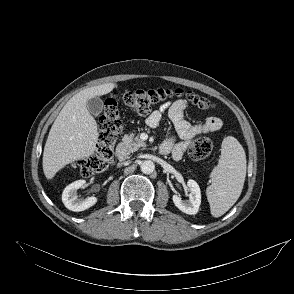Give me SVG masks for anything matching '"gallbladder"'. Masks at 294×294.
<instances>
[{
    "instance_id": "1",
    "label": "gallbladder",
    "mask_w": 294,
    "mask_h": 294,
    "mask_svg": "<svg viewBox=\"0 0 294 294\" xmlns=\"http://www.w3.org/2000/svg\"><path fill=\"white\" fill-rule=\"evenodd\" d=\"M86 107L90 114L98 116L103 110V101L99 97H93L87 101Z\"/></svg>"
}]
</instances>
